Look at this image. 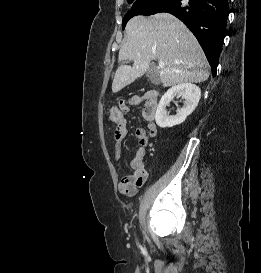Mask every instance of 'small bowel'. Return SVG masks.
<instances>
[{"mask_svg": "<svg viewBox=\"0 0 261 273\" xmlns=\"http://www.w3.org/2000/svg\"><path fill=\"white\" fill-rule=\"evenodd\" d=\"M145 102L142 115L147 122L146 128H137L135 137L139 143V148L136 151L134 158L127 163L132 169V173L124 175L120 174V182L118 183V191L125 196H134L147 179V171L144 167V159L146 156V146L150 139L157 134V124L154 121L157 111V100L152 99L150 92H145L141 95L134 96L130 104L138 105ZM128 136L126 119L123 118L118 122V126L114 133V148L113 159L116 162H123L122 144Z\"/></svg>", "mask_w": 261, "mask_h": 273, "instance_id": "c3829d8e", "label": "small bowel"}]
</instances>
